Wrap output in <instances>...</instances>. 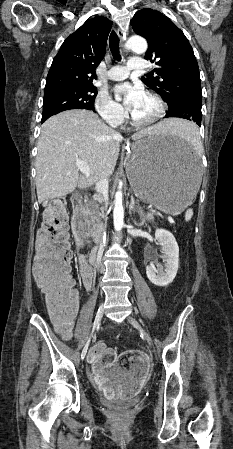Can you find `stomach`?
I'll list each match as a JSON object with an SVG mask.
<instances>
[{
    "instance_id": "stomach-1",
    "label": "stomach",
    "mask_w": 233,
    "mask_h": 449,
    "mask_svg": "<svg viewBox=\"0 0 233 449\" xmlns=\"http://www.w3.org/2000/svg\"><path fill=\"white\" fill-rule=\"evenodd\" d=\"M127 176L138 198L176 215L197 200L200 158L186 142L156 133L131 145Z\"/></svg>"
}]
</instances>
